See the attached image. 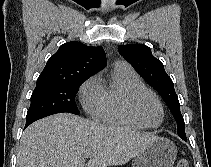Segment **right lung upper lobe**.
Instances as JSON below:
<instances>
[{"instance_id":"obj_1","label":"right lung upper lobe","mask_w":211,"mask_h":167,"mask_svg":"<svg viewBox=\"0 0 211 167\" xmlns=\"http://www.w3.org/2000/svg\"><path fill=\"white\" fill-rule=\"evenodd\" d=\"M102 47L86 46L72 41L60 46L51 56L37 79V84L66 83L87 79L106 66Z\"/></svg>"}]
</instances>
